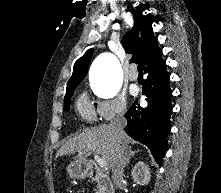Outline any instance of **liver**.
<instances>
[{
	"label": "liver",
	"instance_id": "obj_1",
	"mask_svg": "<svg viewBox=\"0 0 221 193\" xmlns=\"http://www.w3.org/2000/svg\"><path fill=\"white\" fill-rule=\"evenodd\" d=\"M122 142L127 146L130 138L123 133ZM117 144V136L111 125H100L98 127L85 129L82 133L70 138L61 146L56 158L63 155L75 154L77 161L86 162V158L93 152L98 154L111 168Z\"/></svg>",
	"mask_w": 221,
	"mask_h": 193
}]
</instances>
